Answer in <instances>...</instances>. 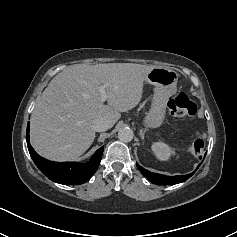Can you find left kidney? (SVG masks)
<instances>
[{"mask_svg": "<svg viewBox=\"0 0 237 237\" xmlns=\"http://www.w3.org/2000/svg\"><path fill=\"white\" fill-rule=\"evenodd\" d=\"M152 151L159 160L166 161L171 155L175 154L174 149L163 142H155L152 144Z\"/></svg>", "mask_w": 237, "mask_h": 237, "instance_id": "left-kidney-1", "label": "left kidney"}]
</instances>
